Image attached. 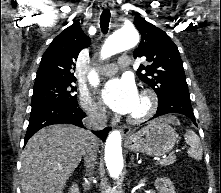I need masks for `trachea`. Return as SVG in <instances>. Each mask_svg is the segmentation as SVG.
<instances>
[{"label":"trachea","mask_w":221,"mask_h":193,"mask_svg":"<svg viewBox=\"0 0 221 193\" xmlns=\"http://www.w3.org/2000/svg\"><path fill=\"white\" fill-rule=\"evenodd\" d=\"M110 10H103L101 16H100V27L103 32V34H106L108 32L109 22H110Z\"/></svg>","instance_id":"trachea-1"}]
</instances>
